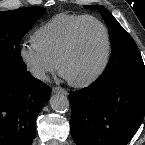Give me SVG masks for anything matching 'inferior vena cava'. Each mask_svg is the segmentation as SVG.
<instances>
[{
    "label": "inferior vena cava",
    "mask_w": 145,
    "mask_h": 145,
    "mask_svg": "<svg viewBox=\"0 0 145 145\" xmlns=\"http://www.w3.org/2000/svg\"><path fill=\"white\" fill-rule=\"evenodd\" d=\"M31 72H32V75L34 77H36V78H39V79H42V80H45L47 78L46 75H45V73H44V71L41 70V69L33 68L31 70Z\"/></svg>",
    "instance_id": "1"
}]
</instances>
